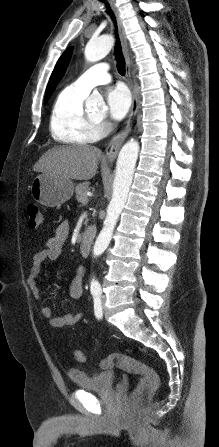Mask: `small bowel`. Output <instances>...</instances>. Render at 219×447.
Instances as JSON below:
<instances>
[{
	"label": "small bowel",
	"instance_id": "1",
	"mask_svg": "<svg viewBox=\"0 0 219 447\" xmlns=\"http://www.w3.org/2000/svg\"><path fill=\"white\" fill-rule=\"evenodd\" d=\"M68 235L69 223L63 221L57 226L54 235L47 240L45 248L38 251L33 256V263L27 277V284L33 297L37 300L41 298L39 277L42 270V264L46 260H57L60 257L64 242L67 240ZM84 271V267L79 266L75 276L70 281L69 294L73 299H78L82 296ZM41 315L48 320L51 326L56 328L73 326L85 316L83 313L65 312L59 317H52L51 309L48 306H43L41 308Z\"/></svg>",
	"mask_w": 219,
	"mask_h": 447
}]
</instances>
